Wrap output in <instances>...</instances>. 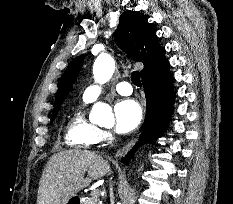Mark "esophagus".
I'll list each match as a JSON object with an SVG mask.
<instances>
[{"label": "esophagus", "mask_w": 233, "mask_h": 204, "mask_svg": "<svg viewBox=\"0 0 233 204\" xmlns=\"http://www.w3.org/2000/svg\"><path fill=\"white\" fill-rule=\"evenodd\" d=\"M137 138L131 140L129 143H127L125 146H123L120 150L117 151V156H122L124 154H126L131 147L135 144Z\"/></svg>", "instance_id": "1"}]
</instances>
